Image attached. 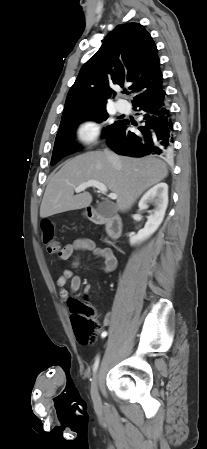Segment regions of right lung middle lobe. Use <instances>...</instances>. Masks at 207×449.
<instances>
[{
    "label": "right lung middle lobe",
    "mask_w": 207,
    "mask_h": 449,
    "mask_svg": "<svg viewBox=\"0 0 207 449\" xmlns=\"http://www.w3.org/2000/svg\"><path fill=\"white\" fill-rule=\"evenodd\" d=\"M108 117L109 115L106 109H101L61 119L52 153L51 165L56 164L63 157L75 153L79 150L74 142L75 130L79 123L85 120L102 122L105 121ZM120 123L121 121H115L113 124L107 126V128L104 130V136L108 137L119 126Z\"/></svg>",
    "instance_id": "right-lung-middle-lobe-1"
}]
</instances>
